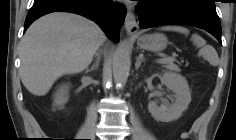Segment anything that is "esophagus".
I'll use <instances>...</instances> for the list:
<instances>
[{"instance_id":"esophagus-1","label":"esophagus","mask_w":236,"mask_h":140,"mask_svg":"<svg viewBox=\"0 0 236 140\" xmlns=\"http://www.w3.org/2000/svg\"><path fill=\"white\" fill-rule=\"evenodd\" d=\"M125 29L128 34L134 35L138 32L139 26L133 11L128 10L125 18Z\"/></svg>"}]
</instances>
